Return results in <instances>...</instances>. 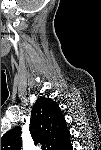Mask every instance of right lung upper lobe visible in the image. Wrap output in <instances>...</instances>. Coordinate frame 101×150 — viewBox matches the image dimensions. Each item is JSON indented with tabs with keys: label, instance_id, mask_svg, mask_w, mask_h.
Instances as JSON below:
<instances>
[{
	"label": "right lung upper lobe",
	"instance_id": "right-lung-upper-lobe-1",
	"mask_svg": "<svg viewBox=\"0 0 101 150\" xmlns=\"http://www.w3.org/2000/svg\"><path fill=\"white\" fill-rule=\"evenodd\" d=\"M29 130L32 138L46 144L48 150H64L70 142V133L61 109L49 98L36 100L31 111ZM20 134V127L9 130L1 139V150H20Z\"/></svg>",
	"mask_w": 101,
	"mask_h": 150
}]
</instances>
